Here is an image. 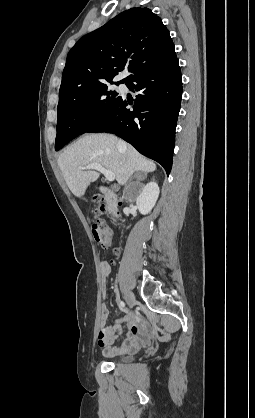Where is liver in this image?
<instances>
[{"label": "liver", "instance_id": "obj_1", "mask_svg": "<svg viewBox=\"0 0 255 418\" xmlns=\"http://www.w3.org/2000/svg\"><path fill=\"white\" fill-rule=\"evenodd\" d=\"M119 141L110 134H89L77 140L59 156L58 166L75 196H83L91 182L99 178V172L94 169H80L88 164L98 163L113 172L119 185H124L134 172L156 170L153 161L143 157L125 142V147L120 148Z\"/></svg>", "mask_w": 255, "mask_h": 418}]
</instances>
